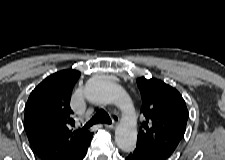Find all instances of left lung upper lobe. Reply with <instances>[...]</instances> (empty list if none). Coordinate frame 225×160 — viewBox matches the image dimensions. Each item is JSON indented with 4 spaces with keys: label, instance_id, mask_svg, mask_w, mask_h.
<instances>
[{
    "label": "left lung upper lobe",
    "instance_id": "5c2ea615",
    "mask_svg": "<svg viewBox=\"0 0 225 160\" xmlns=\"http://www.w3.org/2000/svg\"><path fill=\"white\" fill-rule=\"evenodd\" d=\"M145 120L138 133L136 150L158 160L174 153L184 136L188 110L184 99L173 87L155 78L137 79Z\"/></svg>",
    "mask_w": 225,
    "mask_h": 160
}]
</instances>
